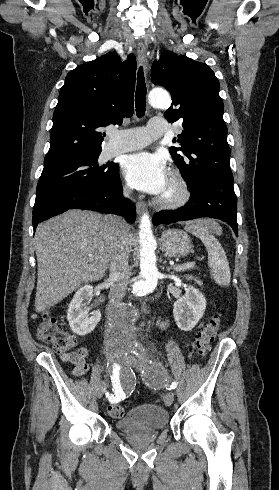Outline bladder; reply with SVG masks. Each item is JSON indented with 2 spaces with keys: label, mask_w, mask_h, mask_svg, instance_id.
Segmentation results:
<instances>
[{
  "label": "bladder",
  "mask_w": 279,
  "mask_h": 490,
  "mask_svg": "<svg viewBox=\"0 0 279 490\" xmlns=\"http://www.w3.org/2000/svg\"><path fill=\"white\" fill-rule=\"evenodd\" d=\"M168 412L159 405H139L115 422L119 432L160 431L168 425Z\"/></svg>",
  "instance_id": "1"
}]
</instances>
